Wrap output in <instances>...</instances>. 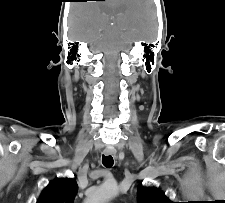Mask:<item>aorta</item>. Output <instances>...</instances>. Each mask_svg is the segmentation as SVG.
<instances>
[{"label":"aorta","instance_id":"obj_1","mask_svg":"<svg viewBox=\"0 0 225 203\" xmlns=\"http://www.w3.org/2000/svg\"><path fill=\"white\" fill-rule=\"evenodd\" d=\"M117 193L118 188L116 183L107 182L92 192L84 203H107L110 199L116 196Z\"/></svg>","mask_w":225,"mask_h":203}]
</instances>
